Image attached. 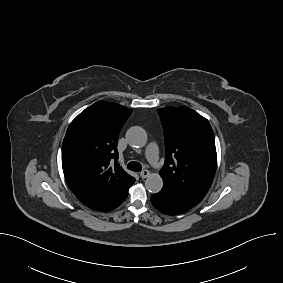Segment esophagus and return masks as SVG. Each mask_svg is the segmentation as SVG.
<instances>
[{
    "label": "esophagus",
    "mask_w": 283,
    "mask_h": 283,
    "mask_svg": "<svg viewBox=\"0 0 283 283\" xmlns=\"http://www.w3.org/2000/svg\"><path fill=\"white\" fill-rule=\"evenodd\" d=\"M149 175H150V172H149L148 170H143V171L140 173V177H141L142 179L147 178Z\"/></svg>",
    "instance_id": "obj_1"
}]
</instances>
